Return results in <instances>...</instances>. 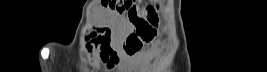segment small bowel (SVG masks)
Returning <instances> with one entry per match:
<instances>
[{
    "mask_svg": "<svg viewBox=\"0 0 267 72\" xmlns=\"http://www.w3.org/2000/svg\"><path fill=\"white\" fill-rule=\"evenodd\" d=\"M103 41H108L107 32L105 30H101V32L97 34V36L93 37V39L87 44V49L90 50L95 47H99ZM118 54L127 60L139 63L149 58L152 53L149 52V53L139 54L136 56H126L119 51ZM102 59L104 61H107L109 64H113L118 60L117 52L112 51V49L104 50Z\"/></svg>",
    "mask_w": 267,
    "mask_h": 72,
    "instance_id": "obj_1",
    "label": "small bowel"
}]
</instances>
